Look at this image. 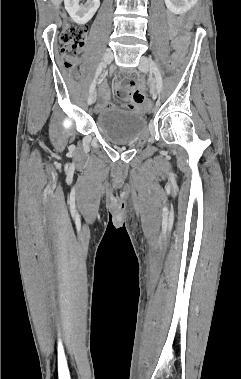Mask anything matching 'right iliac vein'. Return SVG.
<instances>
[{
	"label": "right iliac vein",
	"mask_w": 241,
	"mask_h": 379,
	"mask_svg": "<svg viewBox=\"0 0 241 379\" xmlns=\"http://www.w3.org/2000/svg\"><path fill=\"white\" fill-rule=\"evenodd\" d=\"M113 59V53L112 51L110 50H107L105 51V53L103 54V61L108 64L112 61ZM96 100V93H92L90 94V96L88 97V105H92Z\"/></svg>",
	"instance_id": "63e3f726"
}]
</instances>
